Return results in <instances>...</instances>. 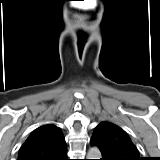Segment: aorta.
I'll return each instance as SVG.
<instances>
[{
  "label": "aorta",
  "instance_id": "762f6f07",
  "mask_svg": "<svg viewBox=\"0 0 160 160\" xmlns=\"http://www.w3.org/2000/svg\"><path fill=\"white\" fill-rule=\"evenodd\" d=\"M101 152L97 147H91L87 153V159H100Z\"/></svg>",
  "mask_w": 160,
  "mask_h": 160
}]
</instances>
